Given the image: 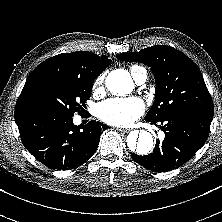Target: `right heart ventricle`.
<instances>
[{
  "mask_svg": "<svg viewBox=\"0 0 222 222\" xmlns=\"http://www.w3.org/2000/svg\"><path fill=\"white\" fill-rule=\"evenodd\" d=\"M143 71H146L143 67L133 65L130 67V72L133 75V77L136 79Z\"/></svg>",
  "mask_w": 222,
  "mask_h": 222,
  "instance_id": "obj_1",
  "label": "right heart ventricle"
}]
</instances>
